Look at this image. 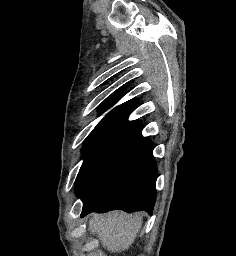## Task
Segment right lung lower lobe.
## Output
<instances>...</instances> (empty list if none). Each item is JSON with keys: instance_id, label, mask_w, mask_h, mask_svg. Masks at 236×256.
I'll use <instances>...</instances> for the list:
<instances>
[{"instance_id": "1", "label": "right lung lower lobe", "mask_w": 236, "mask_h": 256, "mask_svg": "<svg viewBox=\"0 0 236 256\" xmlns=\"http://www.w3.org/2000/svg\"><path fill=\"white\" fill-rule=\"evenodd\" d=\"M152 150V141L141 137L107 164L78 196L83 201L81 217L115 209L151 214L157 178Z\"/></svg>"}]
</instances>
